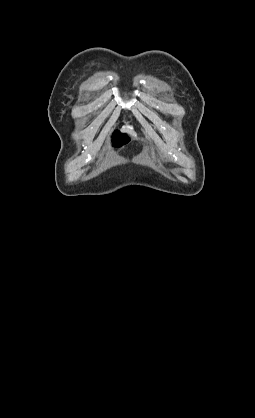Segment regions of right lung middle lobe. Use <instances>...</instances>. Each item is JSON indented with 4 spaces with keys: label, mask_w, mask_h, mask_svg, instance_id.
<instances>
[{
    "label": "right lung middle lobe",
    "mask_w": 255,
    "mask_h": 418,
    "mask_svg": "<svg viewBox=\"0 0 255 418\" xmlns=\"http://www.w3.org/2000/svg\"><path fill=\"white\" fill-rule=\"evenodd\" d=\"M113 146L120 147L129 142V138L126 134H121L119 131L114 132L113 134Z\"/></svg>",
    "instance_id": "obj_1"
}]
</instances>
